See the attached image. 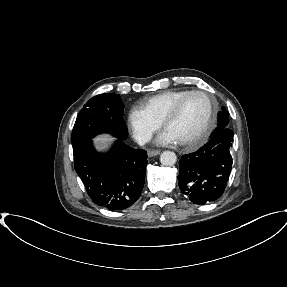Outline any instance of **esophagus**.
<instances>
[{
    "label": "esophagus",
    "mask_w": 287,
    "mask_h": 287,
    "mask_svg": "<svg viewBox=\"0 0 287 287\" xmlns=\"http://www.w3.org/2000/svg\"><path fill=\"white\" fill-rule=\"evenodd\" d=\"M158 154H160V150H150V151H148V156L149 157H153V156H156Z\"/></svg>",
    "instance_id": "34e87169"
}]
</instances>
